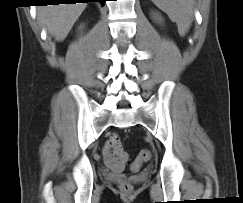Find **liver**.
I'll return each instance as SVG.
<instances>
[{
	"label": "liver",
	"instance_id": "obj_1",
	"mask_svg": "<svg viewBox=\"0 0 243 203\" xmlns=\"http://www.w3.org/2000/svg\"><path fill=\"white\" fill-rule=\"evenodd\" d=\"M85 8L86 3L39 6L37 18L49 33L63 41Z\"/></svg>",
	"mask_w": 243,
	"mask_h": 203
}]
</instances>
